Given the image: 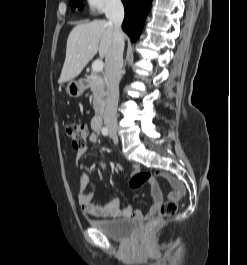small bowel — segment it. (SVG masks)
Returning <instances> with one entry per match:
<instances>
[{"label":"small bowel","instance_id":"obj_1","mask_svg":"<svg viewBox=\"0 0 247 265\" xmlns=\"http://www.w3.org/2000/svg\"><path fill=\"white\" fill-rule=\"evenodd\" d=\"M89 141L92 143H97L98 142L97 134L94 132L91 133L89 135ZM85 150H86L85 148L79 149L77 151V158H80L84 154ZM103 167L106 168L105 165H103ZM139 170L140 168L138 165L133 166V172L137 173L139 172ZM88 181H89V176L86 173L82 174L80 178V186L76 192V199L83 213L93 217H103V218L125 217L141 221L145 218L153 217L157 213L163 201L162 191L158 186V184H155L154 186L151 187L153 203L151 204L145 215H143L139 211H135L130 206L121 208L120 201L118 198L113 199L112 201H110L105 205H95L93 203V193L86 191V186L88 184ZM171 184L174 190L169 193L168 195L169 199L176 200L184 195L185 188L180 182L172 180Z\"/></svg>","mask_w":247,"mask_h":265}]
</instances>
